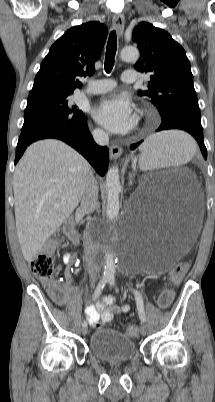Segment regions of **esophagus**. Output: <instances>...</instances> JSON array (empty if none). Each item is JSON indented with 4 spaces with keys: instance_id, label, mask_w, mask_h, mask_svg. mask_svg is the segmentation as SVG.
<instances>
[{
    "instance_id": "obj_1",
    "label": "esophagus",
    "mask_w": 215,
    "mask_h": 402,
    "mask_svg": "<svg viewBox=\"0 0 215 402\" xmlns=\"http://www.w3.org/2000/svg\"><path fill=\"white\" fill-rule=\"evenodd\" d=\"M113 27L117 30L119 34L122 33L124 27V15L122 13H116L113 16ZM123 152V149L117 145H112L110 147V158L113 160L118 159Z\"/></svg>"
}]
</instances>
